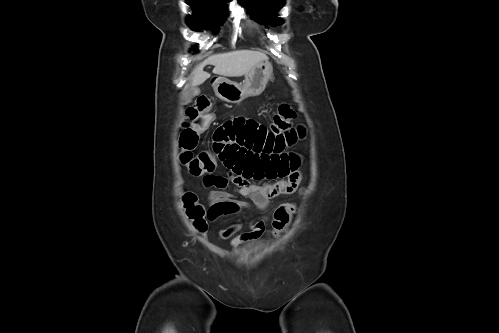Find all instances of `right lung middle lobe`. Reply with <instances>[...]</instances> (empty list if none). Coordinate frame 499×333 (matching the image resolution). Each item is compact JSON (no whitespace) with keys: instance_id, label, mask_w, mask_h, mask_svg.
Returning <instances> with one entry per match:
<instances>
[{"instance_id":"1","label":"right lung middle lobe","mask_w":499,"mask_h":333,"mask_svg":"<svg viewBox=\"0 0 499 333\" xmlns=\"http://www.w3.org/2000/svg\"><path fill=\"white\" fill-rule=\"evenodd\" d=\"M187 3L193 8L194 13L188 18L189 26L200 31L213 24V29L218 31V26L222 24L226 4L219 1L206 0H187Z\"/></svg>"}]
</instances>
